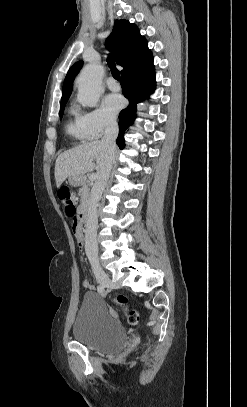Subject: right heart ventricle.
<instances>
[{
    "instance_id": "1",
    "label": "right heart ventricle",
    "mask_w": 247,
    "mask_h": 407,
    "mask_svg": "<svg viewBox=\"0 0 247 407\" xmlns=\"http://www.w3.org/2000/svg\"><path fill=\"white\" fill-rule=\"evenodd\" d=\"M68 121L66 124L67 134L77 141H86L88 137L80 122V113L75 107H71L68 111Z\"/></svg>"
}]
</instances>
